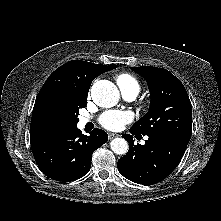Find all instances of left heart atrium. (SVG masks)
Masks as SVG:
<instances>
[{
    "mask_svg": "<svg viewBox=\"0 0 221 221\" xmlns=\"http://www.w3.org/2000/svg\"><path fill=\"white\" fill-rule=\"evenodd\" d=\"M133 120V114L129 111L108 110L102 113L98 119L99 124L110 131H119Z\"/></svg>",
    "mask_w": 221,
    "mask_h": 221,
    "instance_id": "left-heart-atrium-1",
    "label": "left heart atrium"
}]
</instances>
